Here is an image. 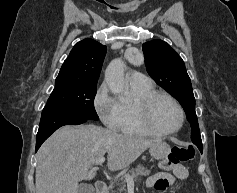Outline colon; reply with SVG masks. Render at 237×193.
Masks as SVG:
<instances>
[{"label": "colon", "instance_id": "1", "mask_svg": "<svg viewBox=\"0 0 237 193\" xmlns=\"http://www.w3.org/2000/svg\"><path fill=\"white\" fill-rule=\"evenodd\" d=\"M195 155L192 146H175L169 156L161 162L164 171L174 170L183 163L190 161Z\"/></svg>", "mask_w": 237, "mask_h": 193}]
</instances>
